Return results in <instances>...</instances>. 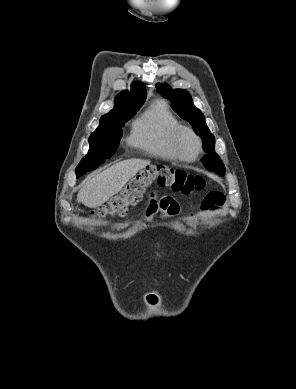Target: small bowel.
I'll return each instance as SVG.
<instances>
[{"instance_id":"c3829d8e","label":"small bowel","mask_w":296,"mask_h":389,"mask_svg":"<svg viewBox=\"0 0 296 389\" xmlns=\"http://www.w3.org/2000/svg\"><path fill=\"white\" fill-rule=\"evenodd\" d=\"M225 204V197L216 192L206 194L200 204V211L202 213H215L222 209ZM158 211L162 212L163 217H173L179 212L178 202L170 196L156 197L155 194H151L149 202L146 207V217L153 220ZM195 214H191L190 218H193Z\"/></svg>"}]
</instances>
